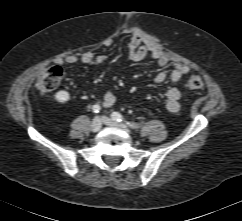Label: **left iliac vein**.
Masks as SVG:
<instances>
[{
    "label": "left iliac vein",
    "instance_id": "obj_1",
    "mask_svg": "<svg viewBox=\"0 0 242 221\" xmlns=\"http://www.w3.org/2000/svg\"><path fill=\"white\" fill-rule=\"evenodd\" d=\"M102 122L108 126L120 128V129L124 130L126 133L131 134V131L123 123L116 122L106 116L102 117Z\"/></svg>",
    "mask_w": 242,
    "mask_h": 221
}]
</instances>
